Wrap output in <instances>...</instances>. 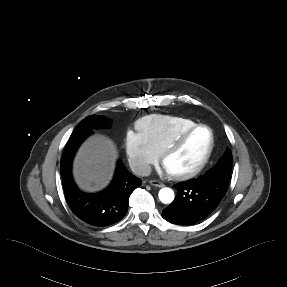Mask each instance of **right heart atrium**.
<instances>
[{"instance_id": "d8ad5b80", "label": "right heart atrium", "mask_w": 287, "mask_h": 287, "mask_svg": "<svg viewBox=\"0 0 287 287\" xmlns=\"http://www.w3.org/2000/svg\"><path fill=\"white\" fill-rule=\"evenodd\" d=\"M126 154L132 168L139 174H147L159 159V152L140 132L130 131L125 136Z\"/></svg>"}]
</instances>
